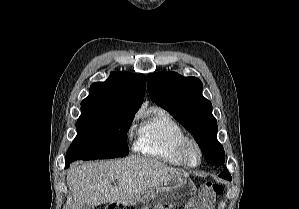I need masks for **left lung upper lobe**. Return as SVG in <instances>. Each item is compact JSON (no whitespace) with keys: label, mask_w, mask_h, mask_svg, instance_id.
Here are the masks:
<instances>
[{"label":"left lung upper lobe","mask_w":299,"mask_h":209,"mask_svg":"<svg viewBox=\"0 0 299 209\" xmlns=\"http://www.w3.org/2000/svg\"><path fill=\"white\" fill-rule=\"evenodd\" d=\"M147 89L151 100L172 113L193 135L208 163H224V149L217 140V121L211 102L202 96L198 78L162 71L147 75Z\"/></svg>","instance_id":"obj_1"}]
</instances>
